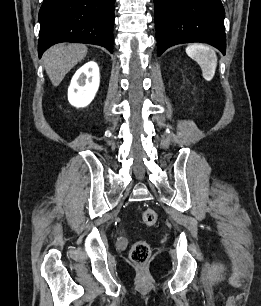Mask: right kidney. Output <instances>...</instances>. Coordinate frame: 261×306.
<instances>
[{"label": "right kidney", "instance_id": "1", "mask_svg": "<svg viewBox=\"0 0 261 306\" xmlns=\"http://www.w3.org/2000/svg\"><path fill=\"white\" fill-rule=\"evenodd\" d=\"M100 84L99 67L90 61L76 71L68 88V101L79 108L89 105Z\"/></svg>", "mask_w": 261, "mask_h": 306}]
</instances>
